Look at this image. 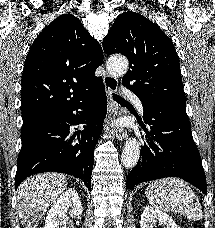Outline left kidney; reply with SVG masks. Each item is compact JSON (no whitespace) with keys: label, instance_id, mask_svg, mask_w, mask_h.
<instances>
[{"label":"left kidney","instance_id":"left-kidney-1","mask_svg":"<svg viewBox=\"0 0 215 228\" xmlns=\"http://www.w3.org/2000/svg\"><path fill=\"white\" fill-rule=\"evenodd\" d=\"M157 226H165V228H179L174 220L157 210L152 206H146L140 220V228H157Z\"/></svg>","mask_w":215,"mask_h":228}]
</instances>
